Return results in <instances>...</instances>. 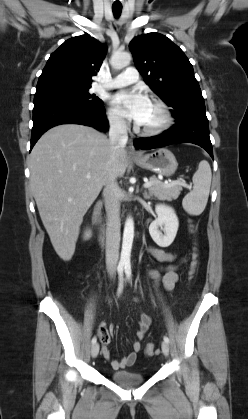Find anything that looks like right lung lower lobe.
Wrapping results in <instances>:
<instances>
[{"instance_id":"98d812e1","label":"right lung lower lobe","mask_w":248,"mask_h":419,"mask_svg":"<svg viewBox=\"0 0 248 419\" xmlns=\"http://www.w3.org/2000/svg\"><path fill=\"white\" fill-rule=\"evenodd\" d=\"M60 124H82L98 130L108 128L104 110L70 101H50L34 104L31 149L48 129Z\"/></svg>"}]
</instances>
